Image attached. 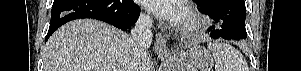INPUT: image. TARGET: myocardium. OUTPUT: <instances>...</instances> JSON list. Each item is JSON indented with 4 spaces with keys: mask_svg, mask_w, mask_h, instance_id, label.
<instances>
[{
    "mask_svg": "<svg viewBox=\"0 0 301 71\" xmlns=\"http://www.w3.org/2000/svg\"><path fill=\"white\" fill-rule=\"evenodd\" d=\"M204 27V21L198 13L193 10L187 11L186 21L183 24L184 32L194 33Z\"/></svg>",
    "mask_w": 301,
    "mask_h": 71,
    "instance_id": "f54148a6",
    "label": "myocardium"
}]
</instances>
